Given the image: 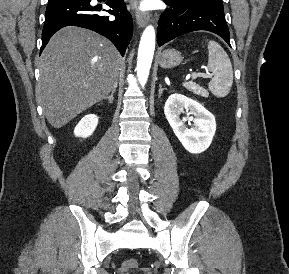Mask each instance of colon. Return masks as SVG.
I'll list each match as a JSON object with an SVG mask.
<instances>
[{
	"mask_svg": "<svg viewBox=\"0 0 289 274\" xmlns=\"http://www.w3.org/2000/svg\"><path fill=\"white\" fill-rule=\"evenodd\" d=\"M138 263L135 259H128L126 261H124L123 263V269L124 270H132L137 268Z\"/></svg>",
	"mask_w": 289,
	"mask_h": 274,
	"instance_id": "1",
	"label": "colon"
}]
</instances>
